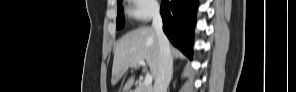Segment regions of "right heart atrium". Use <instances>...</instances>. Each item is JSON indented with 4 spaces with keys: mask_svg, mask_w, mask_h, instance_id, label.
<instances>
[{
    "mask_svg": "<svg viewBox=\"0 0 296 92\" xmlns=\"http://www.w3.org/2000/svg\"><path fill=\"white\" fill-rule=\"evenodd\" d=\"M159 10L158 2L154 0L130 1L127 14L139 23H145L152 19Z\"/></svg>",
    "mask_w": 296,
    "mask_h": 92,
    "instance_id": "d8ad5b80",
    "label": "right heart atrium"
}]
</instances>
